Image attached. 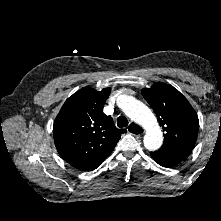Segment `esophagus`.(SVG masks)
<instances>
[{"mask_svg": "<svg viewBox=\"0 0 221 221\" xmlns=\"http://www.w3.org/2000/svg\"><path fill=\"white\" fill-rule=\"evenodd\" d=\"M127 130L130 134L135 135V136H140L144 134L143 128L133 122L130 123Z\"/></svg>", "mask_w": 221, "mask_h": 221, "instance_id": "esophagus-1", "label": "esophagus"}]
</instances>
